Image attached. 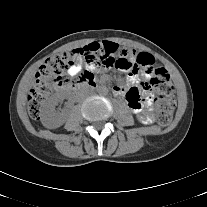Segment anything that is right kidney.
Instances as JSON below:
<instances>
[{"label":"right kidney","instance_id":"obj_1","mask_svg":"<svg viewBox=\"0 0 207 207\" xmlns=\"http://www.w3.org/2000/svg\"><path fill=\"white\" fill-rule=\"evenodd\" d=\"M60 100L61 96L56 94L46 104L41 117V122L46 128H57L65 123L64 114L57 113L55 110Z\"/></svg>","mask_w":207,"mask_h":207}]
</instances>
